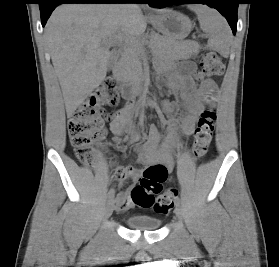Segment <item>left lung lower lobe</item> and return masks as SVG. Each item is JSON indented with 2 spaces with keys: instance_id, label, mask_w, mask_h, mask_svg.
Returning a JSON list of instances; mask_svg holds the SVG:
<instances>
[{
  "instance_id": "left-lung-lower-lobe-1",
  "label": "left lung lower lobe",
  "mask_w": 279,
  "mask_h": 267,
  "mask_svg": "<svg viewBox=\"0 0 279 267\" xmlns=\"http://www.w3.org/2000/svg\"><path fill=\"white\" fill-rule=\"evenodd\" d=\"M150 6L163 8L173 4L181 3H200L207 4L217 9L227 19L233 34L236 33L237 29V10L239 0H147Z\"/></svg>"
}]
</instances>
